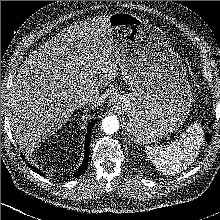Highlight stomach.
Here are the masks:
<instances>
[{"mask_svg":"<svg viewBox=\"0 0 220 220\" xmlns=\"http://www.w3.org/2000/svg\"><path fill=\"white\" fill-rule=\"evenodd\" d=\"M109 26L130 93L116 100L135 143L156 142L185 122L192 103L186 68L166 34L135 14L116 12Z\"/></svg>","mask_w":220,"mask_h":220,"instance_id":"1","label":"stomach"}]
</instances>
